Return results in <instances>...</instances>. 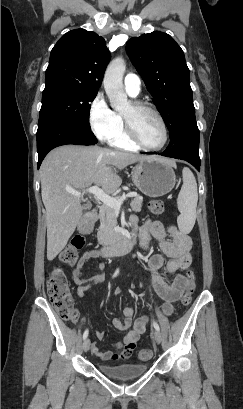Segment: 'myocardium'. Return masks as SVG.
<instances>
[{
  "mask_svg": "<svg viewBox=\"0 0 243 409\" xmlns=\"http://www.w3.org/2000/svg\"><path fill=\"white\" fill-rule=\"evenodd\" d=\"M131 107L134 110H147L149 112H151L159 121V123L161 124L162 130H163V141L160 145L158 146H150L147 145L146 143H144L141 138L139 137V135L137 134V132L135 131L132 123L130 122V120L125 117L123 114H121L123 120H124V124H125V131L126 134L129 138V140L134 143L136 146L141 147L143 149L146 150H150V151H158L163 149L167 143H168V139H169V132H168V127L167 124L163 118V116L160 114V112L155 109L151 104H149L148 102L142 101V100H132L130 102Z\"/></svg>",
  "mask_w": 243,
  "mask_h": 409,
  "instance_id": "f54148a6",
  "label": "myocardium"
}]
</instances>
